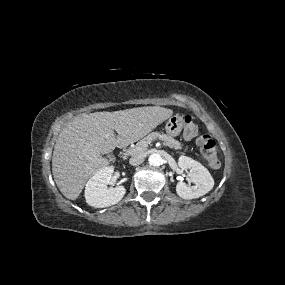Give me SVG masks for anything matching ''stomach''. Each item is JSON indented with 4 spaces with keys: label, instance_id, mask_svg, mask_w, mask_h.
Here are the masks:
<instances>
[{
    "label": "stomach",
    "instance_id": "stomach-1",
    "mask_svg": "<svg viewBox=\"0 0 285 285\" xmlns=\"http://www.w3.org/2000/svg\"><path fill=\"white\" fill-rule=\"evenodd\" d=\"M183 127V119L179 115L169 117L165 124V130L167 134L172 137L178 136L181 133Z\"/></svg>",
    "mask_w": 285,
    "mask_h": 285
}]
</instances>
